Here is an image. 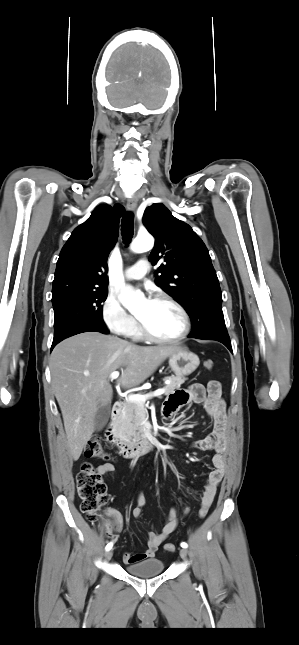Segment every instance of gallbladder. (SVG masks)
Instances as JSON below:
<instances>
[{
  "mask_svg": "<svg viewBox=\"0 0 299 645\" xmlns=\"http://www.w3.org/2000/svg\"><path fill=\"white\" fill-rule=\"evenodd\" d=\"M110 412H111V405L106 404L103 406H100L98 408V411L95 416V430L100 431L102 430L105 425L107 424L109 417H110Z\"/></svg>",
  "mask_w": 299,
  "mask_h": 645,
  "instance_id": "gallbladder-1",
  "label": "gallbladder"
}]
</instances>
